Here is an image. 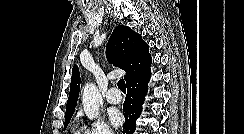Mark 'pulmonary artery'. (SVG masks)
<instances>
[{"label": "pulmonary artery", "instance_id": "obj_1", "mask_svg": "<svg viewBox=\"0 0 244 134\" xmlns=\"http://www.w3.org/2000/svg\"><path fill=\"white\" fill-rule=\"evenodd\" d=\"M106 100L110 104H118L121 102V95L117 88L112 87L107 91Z\"/></svg>", "mask_w": 244, "mask_h": 134}]
</instances>
